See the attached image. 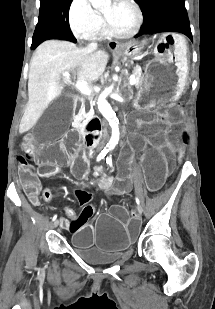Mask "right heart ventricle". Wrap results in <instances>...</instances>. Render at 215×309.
I'll list each match as a JSON object with an SVG mask.
<instances>
[{
  "instance_id": "obj_1",
  "label": "right heart ventricle",
  "mask_w": 215,
  "mask_h": 309,
  "mask_svg": "<svg viewBox=\"0 0 215 309\" xmlns=\"http://www.w3.org/2000/svg\"><path fill=\"white\" fill-rule=\"evenodd\" d=\"M84 6V5H83ZM89 33L90 34H96L97 38H102L103 37V32L99 31L98 27H90L89 28Z\"/></svg>"
}]
</instances>
